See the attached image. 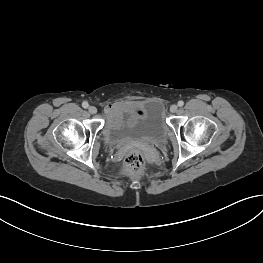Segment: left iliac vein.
<instances>
[{
  "mask_svg": "<svg viewBox=\"0 0 263 263\" xmlns=\"http://www.w3.org/2000/svg\"><path fill=\"white\" fill-rule=\"evenodd\" d=\"M177 110H178V106L177 105H172L171 107H170V111L172 112V113H175V112H177Z\"/></svg>",
  "mask_w": 263,
  "mask_h": 263,
  "instance_id": "1",
  "label": "left iliac vein"
}]
</instances>
